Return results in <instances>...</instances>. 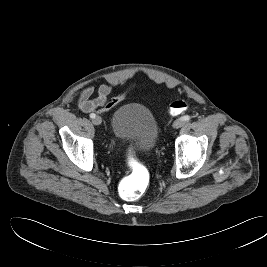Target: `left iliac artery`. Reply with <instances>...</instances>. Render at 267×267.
<instances>
[{"mask_svg": "<svg viewBox=\"0 0 267 267\" xmlns=\"http://www.w3.org/2000/svg\"><path fill=\"white\" fill-rule=\"evenodd\" d=\"M182 119L184 121H187L188 122V121H190L191 117L189 115H185V116L182 117Z\"/></svg>", "mask_w": 267, "mask_h": 267, "instance_id": "obj_1", "label": "left iliac artery"}]
</instances>
